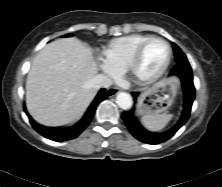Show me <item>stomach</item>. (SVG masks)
Here are the masks:
<instances>
[{"mask_svg": "<svg viewBox=\"0 0 222 187\" xmlns=\"http://www.w3.org/2000/svg\"><path fill=\"white\" fill-rule=\"evenodd\" d=\"M179 84L176 79L162 81L147 89L138 98L137 112L140 115L166 113L172 106L178 93Z\"/></svg>", "mask_w": 222, "mask_h": 187, "instance_id": "stomach-1", "label": "stomach"}]
</instances>
